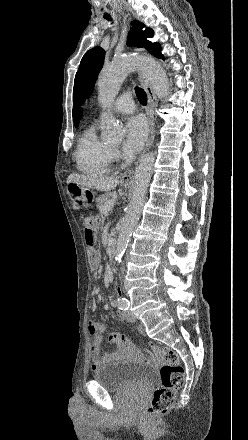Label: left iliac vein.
Listing matches in <instances>:
<instances>
[{"mask_svg": "<svg viewBox=\"0 0 248 440\" xmlns=\"http://www.w3.org/2000/svg\"><path fill=\"white\" fill-rule=\"evenodd\" d=\"M123 318L129 322H134L136 320L135 315L130 310L123 313Z\"/></svg>", "mask_w": 248, "mask_h": 440, "instance_id": "obj_1", "label": "left iliac vein"}]
</instances>
